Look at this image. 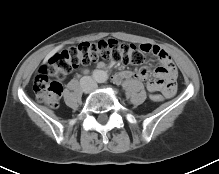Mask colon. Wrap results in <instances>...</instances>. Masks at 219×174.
<instances>
[{"mask_svg": "<svg viewBox=\"0 0 219 174\" xmlns=\"http://www.w3.org/2000/svg\"><path fill=\"white\" fill-rule=\"evenodd\" d=\"M139 46L120 43L117 40H101L96 43L83 42L54 54L48 62L41 66L33 83V89L39 102L56 108L62 94L61 82L79 66H86L99 60H108L125 65H142L146 56ZM150 99L159 103L164 96L152 92Z\"/></svg>", "mask_w": 219, "mask_h": 174, "instance_id": "1", "label": "colon"}]
</instances>
